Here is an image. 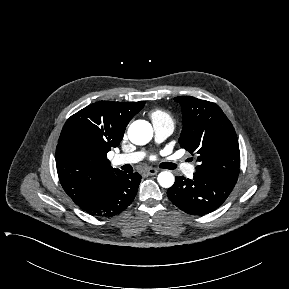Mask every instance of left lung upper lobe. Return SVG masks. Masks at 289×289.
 <instances>
[{
  "mask_svg": "<svg viewBox=\"0 0 289 289\" xmlns=\"http://www.w3.org/2000/svg\"><path fill=\"white\" fill-rule=\"evenodd\" d=\"M174 100L181 105L183 129L179 143L197 154L196 172L236 184L240 151L235 129L221 108L212 102L191 96Z\"/></svg>",
  "mask_w": 289,
  "mask_h": 289,
  "instance_id": "obj_1",
  "label": "left lung upper lobe"
}]
</instances>
